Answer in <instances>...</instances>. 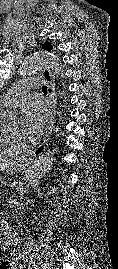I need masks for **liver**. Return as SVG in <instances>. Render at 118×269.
<instances>
[{
    "instance_id": "6515ba94",
    "label": "liver",
    "mask_w": 118,
    "mask_h": 269,
    "mask_svg": "<svg viewBox=\"0 0 118 269\" xmlns=\"http://www.w3.org/2000/svg\"><path fill=\"white\" fill-rule=\"evenodd\" d=\"M19 164H21L20 161L10 160V159L0 157V170L2 171L14 169L15 166Z\"/></svg>"
}]
</instances>
